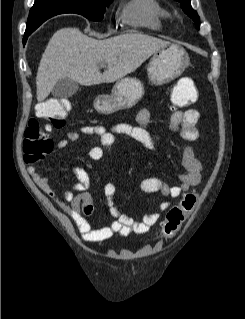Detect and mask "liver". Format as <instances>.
I'll return each mask as SVG.
<instances>
[{
  "mask_svg": "<svg viewBox=\"0 0 245 319\" xmlns=\"http://www.w3.org/2000/svg\"><path fill=\"white\" fill-rule=\"evenodd\" d=\"M169 44L142 33L96 40L77 28L60 29L49 40L40 60L37 100L42 103L57 82L66 77L84 86L119 81ZM102 64L107 65L103 74L99 71Z\"/></svg>",
  "mask_w": 245,
  "mask_h": 319,
  "instance_id": "liver-1",
  "label": "liver"
}]
</instances>
